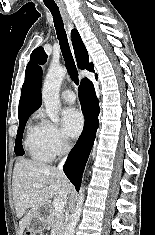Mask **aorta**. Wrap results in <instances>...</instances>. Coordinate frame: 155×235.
<instances>
[{"mask_svg": "<svg viewBox=\"0 0 155 235\" xmlns=\"http://www.w3.org/2000/svg\"><path fill=\"white\" fill-rule=\"evenodd\" d=\"M66 75V68L61 66H51L46 75L43 89H42V100L46 108V113L48 117L54 123L59 121V91L62 84V81ZM84 201V188L81 187L79 192V198L74 209V212L71 215V220L66 226L64 235H73L75 227L79 221L81 215V208Z\"/></svg>", "mask_w": 155, "mask_h": 235, "instance_id": "obj_1", "label": "aorta"}]
</instances>
